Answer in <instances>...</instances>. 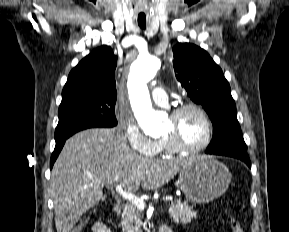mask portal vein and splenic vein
Here are the masks:
<instances>
[{
  "instance_id": "obj_1",
  "label": "portal vein and splenic vein",
  "mask_w": 289,
  "mask_h": 232,
  "mask_svg": "<svg viewBox=\"0 0 289 232\" xmlns=\"http://www.w3.org/2000/svg\"><path fill=\"white\" fill-rule=\"evenodd\" d=\"M116 192L122 196L124 199L129 200L132 204H134L139 210H144L146 204L143 201V199L137 197L133 193L126 191L122 188V185L117 184L116 185ZM163 201H173V198L171 196L164 197Z\"/></svg>"
}]
</instances>
